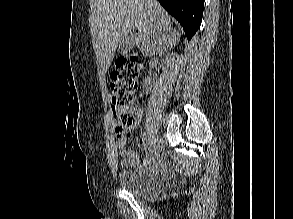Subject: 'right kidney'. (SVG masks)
<instances>
[{
	"label": "right kidney",
	"mask_w": 293,
	"mask_h": 219,
	"mask_svg": "<svg viewBox=\"0 0 293 219\" xmlns=\"http://www.w3.org/2000/svg\"><path fill=\"white\" fill-rule=\"evenodd\" d=\"M168 59L169 58L166 57L165 60H164V63H166L168 61ZM143 89L146 92H148L149 89H151V80L149 78L144 80Z\"/></svg>",
	"instance_id": "1"
}]
</instances>
